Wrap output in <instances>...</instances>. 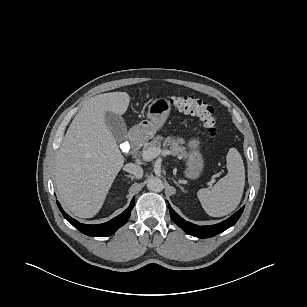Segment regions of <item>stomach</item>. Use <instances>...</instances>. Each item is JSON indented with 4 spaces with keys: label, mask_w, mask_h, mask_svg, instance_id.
<instances>
[{
    "label": "stomach",
    "mask_w": 307,
    "mask_h": 307,
    "mask_svg": "<svg viewBox=\"0 0 307 307\" xmlns=\"http://www.w3.org/2000/svg\"><path fill=\"white\" fill-rule=\"evenodd\" d=\"M171 104L165 98L153 101L148 108L147 119L142 120L134 127L137 137L141 140L151 139L155 133L164 125L170 113ZM199 140L191 139L188 147L191 149L187 154V177L196 179L203 169V158L199 152Z\"/></svg>",
    "instance_id": "obj_1"
}]
</instances>
